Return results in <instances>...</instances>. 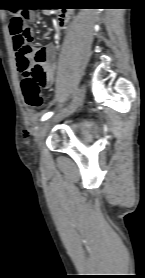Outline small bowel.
<instances>
[{
	"label": "small bowel",
	"instance_id": "obj_1",
	"mask_svg": "<svg viewBox=\"0 0 145 278\" xmlns=\"http://www.w3.org/2000/svg\"><path fill=\"white\" fill-rule=\"evenodd\" d=\"M45 13H48L49 10L46 8L44 10ZM35 18V12H31V19ZM68 16L67 15H59L58 16V25L61 29L67 28ZM12 41L13 37L11 35ZM31 39H34V36L30 35ZM14 45V44H13ZM35 53L28 57L25 54H18L16 46L14 45V52H15V61L18 71L24 75L31 68L36 64V62H42L46 73V79L43 83L44 88H48L51 86L53 81L55 80V71H56V62H55V55H56V48L52 42H48L43 46L34 47ZM28 135V134H27Z\"/></svg>",
	"mask_w": 145,
	"mask_h": 278
}]
</instances>
